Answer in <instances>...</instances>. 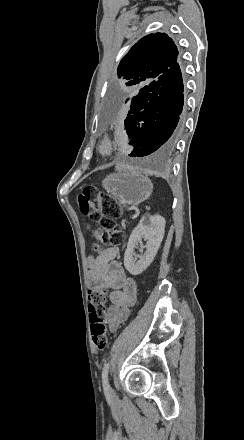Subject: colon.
Masks as SVG:
<instances>
[{
    "mask_svg": "<svg viewBox=\"0 0 244 440\" xmlns=\"http://www.w3.org/2000/svg\"><path fill=\"white\" fill-rule=\"evenodd\" d=\"M77 203L83 216L89 217L93 222L100 225L98 242L93 248L94 252L99 253L100 247H112L117 244L119 239L123 238V231L118 230L115 235L113 232L120 217V210L104 192L85 187L78 194ZM117 226L121 229L124 225L120 222ZM106 297L107 291L105 288H96L92 291L87 306L92 342L100 352L106 350L108 346L105 313Z\"/></svg>",
    "mask_w": 244,
    "mask_h": 440,
    "instance_id": "1",
    "label": "colon"
}]
</instances>
